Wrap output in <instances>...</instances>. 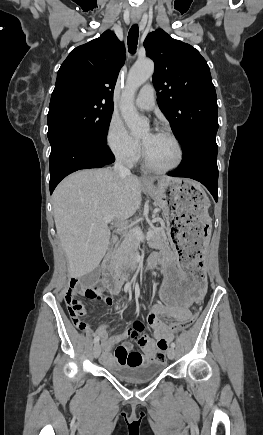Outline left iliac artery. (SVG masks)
<instances>
[{"label": "left iliac artery", "mask_w": 263, "mask_h": 435, "mask_svg": "<svg viewBox=\"0 0 263 435\" xmlns=\"http://www.w3.org/2000/svg\"><path fill=\"white\" fill-rule=\"evenodd\" d=\"M171 347H172V348H175V343L172 342V343H171Z\"/></svg>", "instance_id": "obj_1"}]
</instances>
